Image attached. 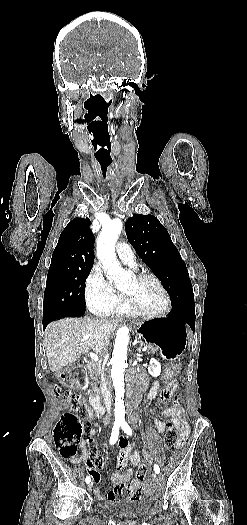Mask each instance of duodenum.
I'll list each match as a JSON object with an SVG mask.
<instances>
[{"instance_id":"1","label":"duodenum","mask_w":247,"mask_h":525,"mask_svg":"<svg viewBox=\"0 0 247 525\" xmlns=\"http://www.w3.org/2000/svg\"><path fill=\"white\" fill-rule=\"evenodd\" d=\"M86 368V363L83 360H78L75 362L74 366L69 370L65 371L63 374V380L72 387H81L84 382V370ZM92 409L96 413H104L105 405L101 397L92 396L89 400Z\"/></svg>"}]
</instances>
